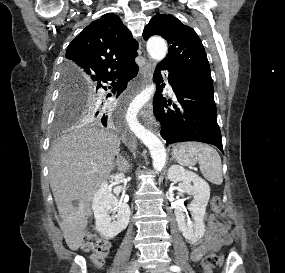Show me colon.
I'll list each match as a JSON object with an SVG mask.
<instances>
[{
  "label": "colon",
  "mask_w": 285,
  "mask_h": 273,
  "mask_svg": "<svg viewBox=\"0 0 285 273\" xmlns=\"http://www.w3.org/2000/svg\"><path fill=\"white\" fill-rule=\"evenodd\" d=\"M212 208L216 214L221 215L222 205L219 197H213L212 199ZM221 223L224 226H228L229 222L226 219H222ZM81 247L84 251L91 253L92 261L95 266L100 267L103 265L106 257L110 251V242L107 238L98 236L93 231H88L82 240ZM218 257L209 253L204 256L201 262L202 269L204 273H213V270L217 264Z\"/></svg>",
  "instance_id": "5ec220e1"
}]
</instances>
